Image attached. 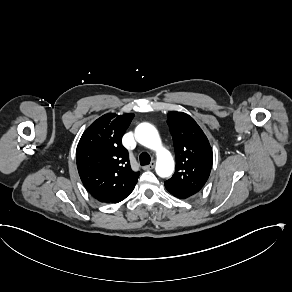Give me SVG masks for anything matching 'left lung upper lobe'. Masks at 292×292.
<instances>
[{
    "label": "left lung upper lobe",
    "mask_w": 292,
    "mask_h": 292,
    "mask_svg": "<svg viewBox=\"0 0 292 292\" xmlns=\"http://www.w3.org/2000/svg\"><path fill=\"white\" fill-rule=\"evenodd\" d=\"M167 117L173 137L176 170L165 185L197 193L209 178L213 161L212 148L206 135L191 116L171 111Z\"/></svg>",
    "instance_id": "left-lung-upper-lobe-1"
}]
</instances>
